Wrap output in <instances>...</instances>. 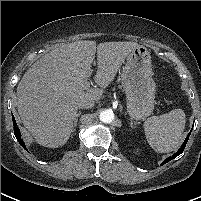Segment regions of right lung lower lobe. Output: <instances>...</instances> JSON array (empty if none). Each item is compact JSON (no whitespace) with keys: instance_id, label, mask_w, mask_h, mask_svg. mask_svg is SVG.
<instances>
[{"instance_id":"98d812e1","label":"right lung lower lobe","mask_w":201,"mask_h":201,"mask_svg":"<svg viewBox=\"0 0 201 201\" xmlns=\"http://www.w3.org/2000/svg\"><path fill=\"white\" fill-rule=\"evenodd\" d=\"M12 120H13V126H14V134L16 139L19 141V143L21 144V146L25 149V144L23 142V140L21 139V134H20V130L17 127L16 121L14 116L12 115ZM27 150V149H26Z\"/></svg>"}]
</instances>
